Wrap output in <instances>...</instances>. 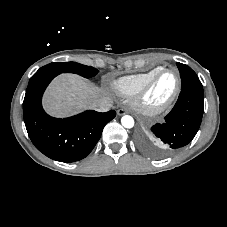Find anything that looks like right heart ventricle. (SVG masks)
<instances>
[{"mask_svg": "<svg viewBox=\"0 0 227 227\" xmlns=\"http://www.w3.org/2000/svg\"><path fill=\"white\" fill-rule=\"evenodd\" d=\"M162 67H155L149 71L127 75L115 79L111 82V88L121 96H132L142 87V85L159 69Z\"/></svg>", "mask_w": 227, "mask_h": 227, "instance_id": "obj_1", "label": "right heart ventricle"}]
</instances>
